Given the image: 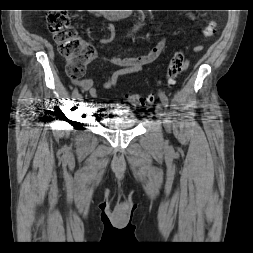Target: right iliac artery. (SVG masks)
<instances>
[{"label":"right iliac artery","instance_id":"1","mask_svg":"<svg viewBox=\"0 0 253 253\" xmlns=\"http://www.w3.org/2000/svg\"><path fill=\"white\" fill-rule=\"evenodd\" d=\"M79 95V93H78V89H74V91H73V94H72V101L73 102H76V98H77V96Z\"/></svg>","mask_w":253,"mask_h":253}]
</instances>
